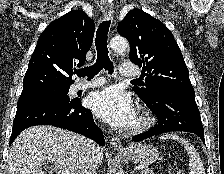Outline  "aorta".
I'll return each instance as SVG.
<instances>
[{"instance_id": "1", "label": "aorta", "mask_w": 224, "mask_h": 174, "mask_svg": "<svg viewBox=\"0 0 224 174\" xmlns=\"http://www.w3.org/2000/svg\"><path fill=\"white\" fill-rule=\"evenodd\" d=\"M110 46L114 52L122 53L128 49L129 44L123 37H114L110 42ZM116 174H124V172L119 170Z\"/></svg>"}]
</instances>
